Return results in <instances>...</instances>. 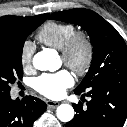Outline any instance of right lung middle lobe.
Returning <instances> with one entry per match:
<instances>
[{
    "label": "right lung middle lobe",
    "instance_id": "right-lung-middle-lobe-1",
    "mask_svg": "<svg viewBox=\"0 0 127 127\" xmlns=\"http://www.w3.org/2000/svg\"><path fill=\"white\" fill-rule=\"evenodd\" d=\"M45 18H39L24 26L0 32V94L10 93V85L23 76L22 49L28 35Z\"/></svg>",
    "mask_w": 127,
    "mask_h": 127
}]
</instances>
